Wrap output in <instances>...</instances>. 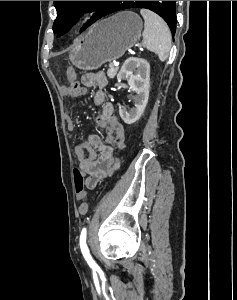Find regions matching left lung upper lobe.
<instances>
[{
	"instance_id": "5c2ea615",
	"label": "left lung upper lobe",
	"mask_w": 237,
	"mask_h": 300,
	"mask_svg": "<svg viewBox=\"0 0 237 300\" xmlns=\"http://www.w3.org/2000/svg\"><path fill=\"white\" fill-rule=\"evenodd\" d=\"M114 1H54V6L57 10V18L53 24V31L59 32V35L64 34L68 29L65 28L74 19L79 17L86 11L96 9V13L81 31L85 30L92 23L103 16L108 15V9ZM119 10L130 8H145L149 9L161 16L168 24L172 34L176 31V1H121ZM65 28V29H63ZM63 29V30H62Z\"/></svg>"
}]
</instances>
